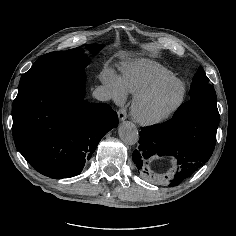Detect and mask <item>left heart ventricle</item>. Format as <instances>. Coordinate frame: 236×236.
<instances>
[{
  "label": "left heart ventricle",
  "mask_w": 236,
  "mask_h": 236,
  "mask_svg": "<svg viewBox=\"0 0 236 236\" xmlns=\"http://www.w3.org/2000/svg\"><path fill=\"white\" fill-rule=\"evenodd\" d=\"M180 85L177 83L169 84L160 88L141 106L144 114L148 116H156L164 112L179 96Z\"/></svg>",
  "instance_id": "b2bd125f"
}]
</instances>
